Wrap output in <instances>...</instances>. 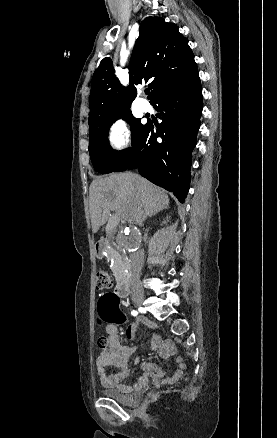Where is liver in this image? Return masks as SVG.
I'll return each instance as SVG.
<instances>
[{"instance_id":"1","label":"liver","mask_w":277,"mask_h":438,"mask_svg":"<svg viewBox=\"0 0 277 438\" xmlns=\"http://www.w3.org/2000/svg\"><path fill=\"white\" fill-rule=\"evenodd\" d=\"M92 232L106 224L110 210H116L122 224H141L144 214L155 216L169 206V198L161 188L133 174H114L109 178L93 180L90 190Z\"/></svg>"}]
</instances>
